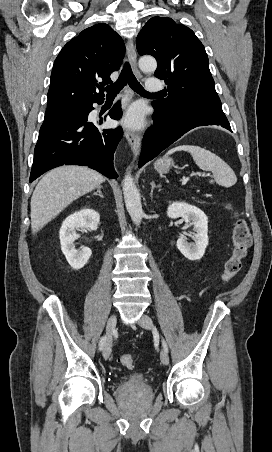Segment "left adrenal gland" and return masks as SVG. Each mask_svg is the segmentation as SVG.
Returning a JSON list of instances; mask_svg holds the SVG:
<instances>
[{
    "label": "left adrenal gland",
    "instance_id": "1",
    "mask_svg": "<svg viewBox=\"0 0 272 452\" xmlns=\"http://www.w3.org/2000/svg\"><path fill=\"white\" fill-rule=\"evenodd\" d=\"M150 185H151V192H150V195H151V198H152V197H153V191H154V189H155V188H158V189L160 190L161 185H160V184L156 185L154 181H152V182L150 183Z\"/></svg>",
    "mask_w": 272,
    "mask_h": 452
}]
</instances>
